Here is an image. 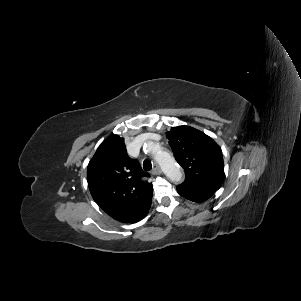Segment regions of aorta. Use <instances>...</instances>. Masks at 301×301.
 I'll use <instances>...</instances> for the list:
<instances>
[{
  "mask_svg": "<svg viewBox=\"0 0 301 301\" xmlns=\"http://www.w3.org/2000/svg\"><path fill=\"white\" fill-rule=\"evenodd\" d=\"M147 150L155 154L156 160L162 167L164 173L166 176L174 183H180L183 180V174L178 166V164L175 162V160L172 158V156L164 151H156L158 148V145L149 142L146 144Z\"/></svg>",
  "mask_w": 301,
  "mask_h": 301,
  "instance_id": "aorta-1",
  "label": "aorta"
}]
</instances>
